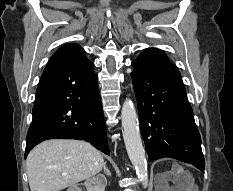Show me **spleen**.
Wrapping results in <instances>:
<instances>
[{
    "label": "spleen",
    "instance_id": "obj_1",
    "mask_svg": "<svg viewBox=\"0 0 233 191\" xmlns=\"http://www.w3.org/2000/svg\"><path fill=\"white\" fill-rule=\"evenodd\" d=\"M180 174H185V172L183 170L180 171Z\"/></svg>",
    "mask_w": 233,
    "mask_h": 191
}]
</instances>
